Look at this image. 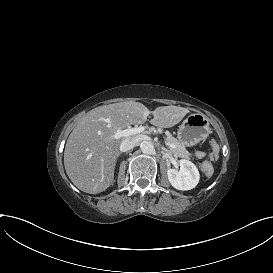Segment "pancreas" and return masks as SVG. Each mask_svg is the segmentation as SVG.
<instances>
[{"mask_svg": "<svg viewBox=\"0 0 273 273\" xmlns=\"http://www.w3.org/2000/svg\"><path fill=\"white\" fill-rule=\"evenodd\" d=\"M165 142L171 143L175 146L174 150L170 149L168 146V152L172 153L178 157L189 159L190 153L186 150V148L180 144V142L174 138L170 133L165 138Z\"/></svg>", "mask_w": 273, "mask_h": 273, "instance_id": "obj_1", "label": "pancreas"}]
</instances>
